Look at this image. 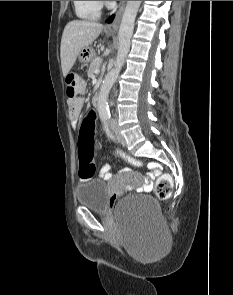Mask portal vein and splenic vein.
Wrapping results in <instances>:
<instances>
[{
    "instance_id": "obj_1",
    "label": "portal vein and splenic vein",
    "mask_w": 233,
    "mask_h": 295,
    "mask_svg": "<svg viewBox=\"0 0 233 295\" xmlns=\"http://www.w3.org/2000/svg\"><path fill=\"white\" fill-rule=\"evenodd\" d=\"M99 72H100V69L99 68L95 70V73H99Z\"/></svg>"
}]
</instances>
